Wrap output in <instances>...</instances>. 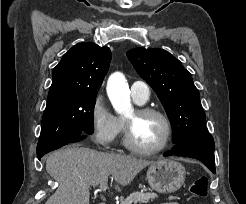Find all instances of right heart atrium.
Wrapping results in <instances>:
<instances>
[{"label": "right heart atrium", "instance_id": "1", "mask_svg": "<svg viewBox=\"0 0 246 204\" xmlns=\"http://www.w3.org/2000/svg\"><path fill=\"white\" fill-rule=\"evenodd\" d=\"M91 138L101 148H108L119 134V118L113 114L106 98L97 94L90 110Z\"/></svg>", "mask_w": 246, "mask_h": 204}]
</instances>
